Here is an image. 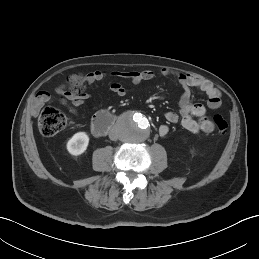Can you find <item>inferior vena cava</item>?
Here are the masks:
<instances>
[{
	"mask_svg": "<svg viewBox=\"0 0 259 259\" xmlns=\"http://www.w3.org/2000/svg\"><path fill=\"white\" fill-rule=\"evenodd\" d=\"M109 137H110L111 140H117L119 136H118V134L115 131H112L109 134Z\"/></svg>",
	"mask_w": 259,
	"mask_h": 259,
	"instance_id": "inferior-vena-cava-1",
	"label": "inferior vena cava"
}]
</instances>
